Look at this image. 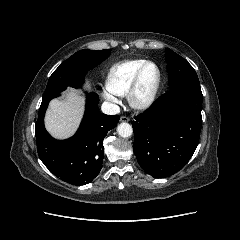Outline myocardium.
Listing matches in <instances>:
<instances>
[{"instance_id": "1", "label": "myocardium", "mask_w": 240, "mask_h": 240, "mask_svg": "<svg viewBox=\"0 0 240 240\" xmlns=\"http://www.w3.org/2000/svg\"><path fill=\"white\" fill-rule=\"evenodd\" d=\"M153 66L156 69V78L151 88L146 93H141V81L145 69ZM162 82V73L160 67L152 61H146L135 74L129 87L127 98L132 108L136 110H146L155 101L160 90Z\"/></svg>"}]
</instances>
